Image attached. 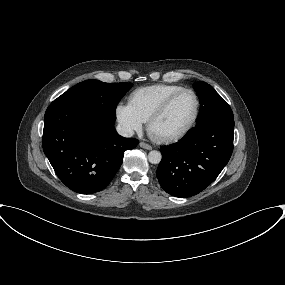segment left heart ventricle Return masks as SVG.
I'll list each match as a JSON object with an SVG mask.
<instances>
[{
    "mask_svg": "<svg viewBox=\"0 0 285 285\" xmlns=\"http://www.w3.org/2000/svg\"><path fill=\"white\" fill-rule=\"evenodd\" d=\"M194 110V96L190 93H182L171 103L164 115L154 123L153 133L165 136L179 132L188 124Z\"/></svg>",
    "mask_w": 285,
    "mask_h": 285,
    "instance_id": "left-heart-ventricle-1",
    "label": "left heart ventricle"
}]
</instances>
